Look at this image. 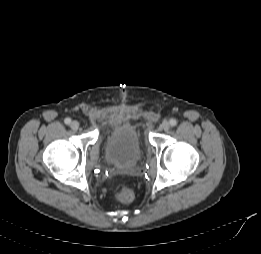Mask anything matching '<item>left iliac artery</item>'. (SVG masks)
Listing matches in <instances>:
<instances>
[{
	"label": "left iliac artery",
	"instance_id": "1",
	"mask_svg": "<svg viewBox=\"0 0 261 254\" xmlns=\"http://www.w3.org/2000/svg\"><path fill=\"white\" fill-rule=\"evenodd\" d=\"M170 125H171V126H176V125H177V120L172 118V119L170 120Z\"/></svg>",
	"mask_w": 261,
	"mask_h": 254
}]
</instances>
